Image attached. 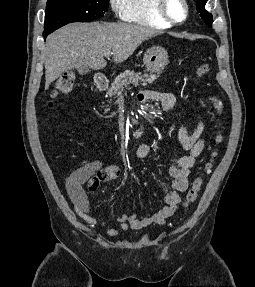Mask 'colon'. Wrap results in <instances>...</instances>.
<instances>
[{
    "label": "colon",
    "instance_id": "colon-1",
    "mask_svg": "<svg viewBox=\"0 0 255 287\" xmlns=\"http://www.w3.org/2000/svg\"><path fill=\"white\" fill-rule=\"evenodd\" d=\"M209 66L207 64L200 65L197 70V76L198 77H204L209 73ZM74 81H75V76L72 72H65L63 73L55 82L54 84V89H53V97L57 96H65L70 94L73 91L74 88ZM215 110L219 115L222 114L223 112V104L222 101L215 97L212 96L210 97ZM51 106L53 103L50 104ZM222 142V134L219 132L216 137H215V143L218 145ZM217 156V150L214 149L211 152L210 158L207 161V163L204 166L203 173L202 175L198 176L192 183L190 189L187 192L186 199H185V206L189 205L190 203L194 202L195 199L197 198V195L202 187L203 184V175L207 174L213 165L214 159Z\"/></svg>",
    "mask_w": 255,
    "mask_h": 287
}]
</instances>
